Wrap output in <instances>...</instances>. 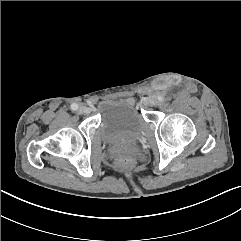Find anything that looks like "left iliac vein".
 Here are the masks:
<instances>
[{
	"label": "left iliac vein",
	"instance_id": "4c4485c4",
	"mask_svg": "<svg viewBox=\"0 0 241 241\" xmlns=\"http://www.w3.org/2000/svg\"><path fill=\"white\" fill-rule=\"evenodd\" d=\"M145 104L147 106H156V105H158V101L155 98H150V99L146 100Z\"/></svg>",
	"mask_w": 241,
	"mask_h": 241
}]
</instances>
